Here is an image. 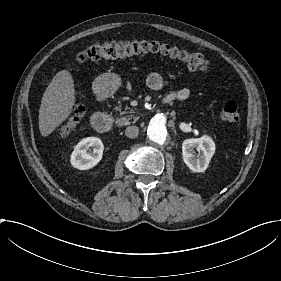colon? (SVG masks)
Returning <instances> with one entry per match:
<instances>
[{
	"mask_svg": "<svg viewBox=\"0 0 281 281\" xmlns=\"http://www.w3.org/2000/svg\"><path fill=\"white\" fill-rule=\"evenodd\" d=\"M147 54L158 55L173 61L185 62L202 72L206 71L209 67L208 60L200 53L190 52L167 44L145 40L95 43L78 52L73 63L85 64L89 61L110 58L121 59ZM220 115L222 119L228 123L238 124L240 122V114L236 105L231 101L224 102L220 106Z\"/></svg>",
	"mask_w": 281,
	"mask_h": 281,
	"instance_id": "colon-1",
	"label": "colon"
}]
</instances>
